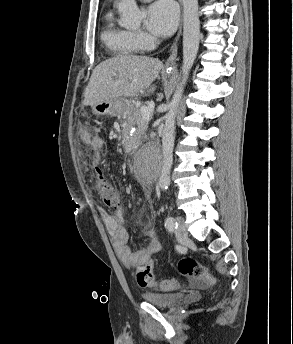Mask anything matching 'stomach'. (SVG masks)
<instances>
[{
	"label": "stomach",
	"mask_w": 293,
	"mask_h": 344,
	"mask_svg": "<svg viewBox=\"0 0 293 344\" xmlns=\"http://www.w3.org/2000/svg\"><path fill=\"white\" fill-rule=\"evenodd\" d=\"M130 109V103L123 98L99 102L92 106V111L95 115H111L121 116L127 115Z\"/></svg>",
	"instance_id": "0dacf381"
}]
</instances>
